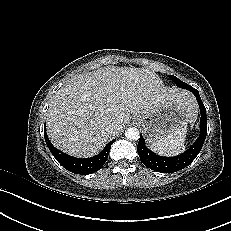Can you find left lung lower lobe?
Masks as SVG:
<instances>
[{
	"label": "left lung lower lobe",
	"instance_id": "1",
	"mask_svg": "<svg viewBox=\"0 0 231 231\" xmlns=\"http://www.w3.org/2000/svg\"><path fill=\"white\" fill-rule=\"evenodd\" d=\"M191 91L198 101L200 110H201V120H200V135L196 142L183 154L175 157H162L154 154L145 146V140L140 135V139L137 145V151L139 157L143 164L160 173H173L177 172L193 162L196 156L201 151V148L204 144L207 135V118H206V109L200 98L199 91L192 86H189L187 89Z\"/></svg>",
	"mask_w": 231,
	"mask_h": 231
}]
</instances>
